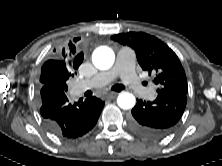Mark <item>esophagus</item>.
I'll list each match as a JSON object with an SVG mask.
<instances>
[{
    "label": "esophagus",
    "instance_id": "esophagus-1",
    "mask_svg": "<svg viewBox=\"0 0 222 166\" xmlns=\"http://www.w3.org/2000/svg\"><path fill=\"white\" fill-rule=\"evenodd\" d=\"M118 95V92H111L106 95L108 99H114Z\"/></svg>",
    "mask_w": 222,
    "mask_h": 166
}]
</instances>
